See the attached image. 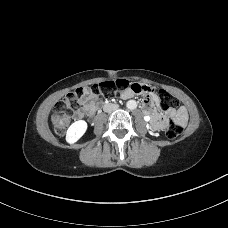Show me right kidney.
<instances>
[{
    "label": "right kidney",
    "instance_id": "ca27d5eb",
    "mask_svg": "<svg viewBox=\"0 0 228 228\" xmlns=\"http://www.w3.org/2000/svg\"><path fill=\"white\" fill-rule=\"evenodd\" d=\"M87 123L84 120H78L70 125L66 133V141L70 144L77 142L86 132Z\"/></svg>",
    "mask_w": 228,
    "mask_h": 228
}]
</instances>
